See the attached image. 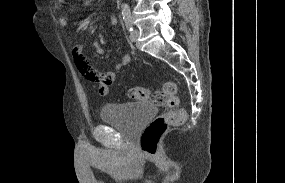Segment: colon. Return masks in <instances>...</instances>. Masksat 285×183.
Segmentation results:
<instances>
[{"label":"colon","mask_w":285,"mask_h":183,"mask_svg":"<svg viewBox=\"0 0 285 183\" xmlns=\"http://www.w3.org/2000/svg\"><path fill=\"white\" fill-rule=\"evenodd\" d=\"M77 68L87 79L93 80L90 67L85 63H78ZM127 97L132 100L153 99L155 102L165 104L169 111L158 115L144 130L140 138V148L145 154H155L158 143L167 131L169 126H177L186 120V111L179 108V99L177 97V86L174 82H166L161 92L153 93L151 89L142 86L130 87L127 90Z\"/></svg>","instance_id":"5ec220e1"}]
</instances>
